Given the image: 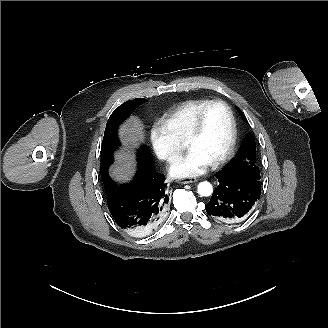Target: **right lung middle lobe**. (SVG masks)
Returning <instances> with one entry per match:
<instances>
[{"label": "right lung middle lobe", "instance_id": "1", "mask_svg": "<svg viewBox=\"0 0 328 328\" xmlns=\"http://www.w3.org/2000/svg\"><path fill=\"white\" fill-rule=\"evenodd\" d=\"M143 102H145L144 98H137L123 103L114 110L106 124L101 147V177L105 190L113 183L108 175V168L114 161L113 152L120 145L117 136V127L130 115L133 109ZM137 159L140 168L141 166L147 165L152 160V157L148 150L144 146H141L137 154Z\"/></svg>", "mask_w": 328, "mask_h": 328}]
</instances>
